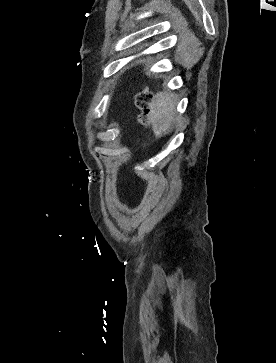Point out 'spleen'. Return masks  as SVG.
Masks as SVG:
<instances>
[{
    "instance_id": "spleen-1",
    "label": "spleen",
    "mask_w": 276,
    "mask_h": 363,
    "mask_svg": "<svg viewBox=\"0 0 276 363\" xmlns=\"http://www.w3.org/2000/svg\"><path fill=\"white\" fill-rule=\"evenodd\" d=\"M176 98L173 93L159 92L150 104L149 119L155 135L160 138L170 133L175 118Z\"/></svg>"
}]
</instances>
